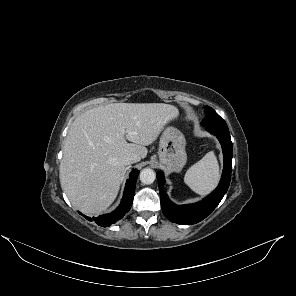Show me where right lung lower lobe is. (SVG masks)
Returning <instances> with one entry per match:
<instances>
[{
    "mask_svg": "<svg viewBox=\"0 0 296 296\" xmlns=\"http://www.w3.org/2000/svg\"><path fill=\"white\" fill-rule=\"evenodd\" d=\"M138 173V171H133L130 174V178L126 182L121 204L115 211L109 214L94 217L93 219L81 213L80 214L83 215L89 221L94 220L98 225L102 227L110 226L112 223H115L116 221L121 219L125 215V213H127L130 210L132 206Z\"/></svg>",
    "mask_w": 296,
    "mask_h": 296,
    "instance_id": "obj_1",
    "label": "right lung lower lobe"
}]
</instances>
